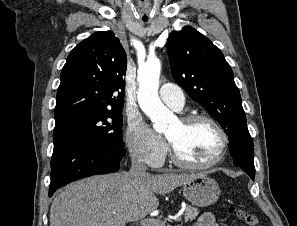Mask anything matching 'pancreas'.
Listing matches in <instances>:
<instances>
[{
  "label": "pancreas",
  "mask_w": 297,
  "mask_h": 226,
  "mask_svg": "<svg viewBox=\"0 0 297 226\" xmlns=\"http://www.w3.org/2000/svg\"><path fill=\"white\" fill-rule=\"evenodd\" d=\"M199 215V210L197 208H194L190 205H187L185 208V221H193L197 216ZM151 226H166L164 221L158 220L155 224H152Z\"/></svg>",
  "instance_id": "cf45deb5"
}]
</instances>
